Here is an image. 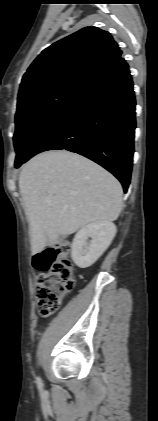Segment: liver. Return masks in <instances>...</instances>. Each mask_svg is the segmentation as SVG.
I'll use <instances>...</instances> for the list:
<instances>
[{
    "label": "liver",
    "instance_id": "obj_1",
    "mask_svg": "<svg viewBox=\"0 0 158 421\" xmlns=\"http://www.w3.org/2000/svg\"><path fill=\"white\" fill-rule=\"evenodd\" d=\"M33 253L47 241L93 222H112L122 208L119 181L94 162L66 151H47L30 159L19 177Z\"/></svg>",
    "mask_w": 158,
    "mask_h": 421
}]
</instances>
